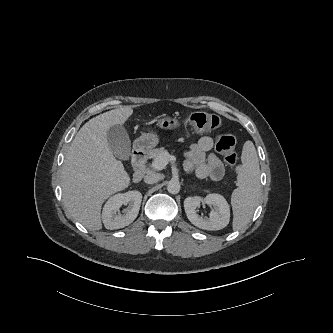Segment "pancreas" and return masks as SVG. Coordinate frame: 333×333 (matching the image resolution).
Segmentation results:
<instances>
[{
    "label": "pancreas",
    "instance_id": "1",
    "mask_svg": "<svg viewBox=\"0 0 333 333\" xmlns=\"http://www.w3.org/2000/svg\"><path fill=\"white\" fill-rule=\"evenodd\" d=\"M165 153H168V152L164 148H156V149H152L150 151L149 155H150V158L156 159V158H158L159 156H161Z\"/></svg>",
    "mask_w": 333,
    "mask_h": 333
}]
</instances>
